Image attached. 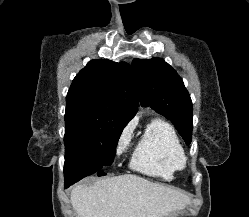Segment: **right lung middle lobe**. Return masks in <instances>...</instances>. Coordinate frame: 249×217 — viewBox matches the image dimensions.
Segmentation results:
<instances>
[{
  "mask_svg": "<svg viewBox=\"0 0 249 217\" xmlns=\"http://www.w3.org/2000/svg\"><path fill=\"white\" fill-rule=\"evenodd\" d=\"M128 120L111 111L86 102H67L65 113V149L93 163L98 170L113 162L116 146Z\"/></svg>",
  "mask_w": 249,
  "mask_h": 217,
  "instance_id": "obj_1",
  "label": "right lung middle lobe"
}]
</instances>
